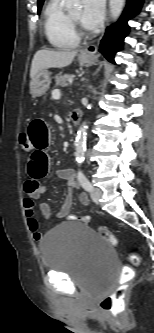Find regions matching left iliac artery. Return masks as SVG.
<instances>
[{
  "label": "left iliac artery",
  "instance_id": "44dca946",
  "mask_svg": "<svg viewBox=\"0 0 154 333\" xmlns=\"http://www.w3.org/2000/svg\"><path fill=\"white\" fill-rule=\"evenodd\" d=\"M78 180L86 191L90 192L92 190L93 187L82 170H78Z\"/></svg>",
  "mask_w": 154,
  "mask_h": 333
}]
</instances>
